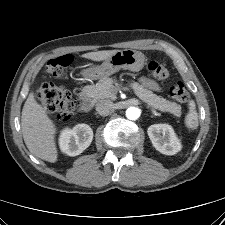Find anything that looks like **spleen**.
Masks as SVG:
<instances>
[{
  "label": "spleen",
  "instance_id": "3e777b00",
  "mask_svg": "<svg viewBox=\"0 0 225 225\" xmlns=\"http://www.w3.org/2000/svg\"><path fill=\"white\" fill-rule=\"evenodd\" d=\"M189 111L185 116V126L190 130L198 128V113L196 111V104L194 100H190L188 103Z\"/></svg>",
  "mask_w": 225,
  "mask_h": 225
}]
</instances>
